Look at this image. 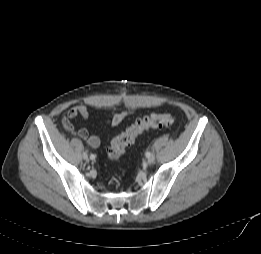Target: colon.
Returning a JSON list of instances; mask_svg holds the SVG:
<instances>
[{
    "label": "colon",
    "instance_id": "1",
    "mask_svg": "<svg viewBox=\"0 0 261 254\" xmlns=\"http://www.w3.org/2000/svg\"><path fill=\"white\" fill-rule=\"evenodd\" d=\"M175 117L170 113L151 114L138 118L122 134L113 139L107 150V156L111 161H118L125 148L133 144L136 138L145 131L155 128L172 126Z\"/></svg>",
    "mask_w": 261,
    "mask_h": 254
}]
</instances>
